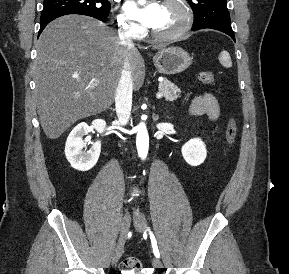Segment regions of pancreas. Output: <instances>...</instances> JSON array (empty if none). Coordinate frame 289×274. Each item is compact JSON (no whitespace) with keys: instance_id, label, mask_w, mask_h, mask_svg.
<instances>
[{"instance_id":"cf45deb5","label":"pancreas","mask_w":289,"mask_h":274,"mask_svg":"<svg viewBox=\"0 0 289 274\" xmlns=\"http://www.w3.org/2000/svg\"><path fill=\"white\" fill-rule=\"evenodd\" d=\"M159 92L163 94V97L167 101H174L180 95V89L171 81L164 79L159 83Z\"/></svg>"}]
</instances>
